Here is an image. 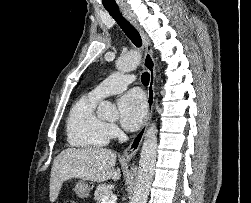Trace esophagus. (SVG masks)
<instances>
[{
  "instance_id": "esophagus-1",
  "label": "esophagus",
  "mask_w": 251,
  "mask_h": 203,
  "mask_svg": "<svg viewBox=\"0 0 251 203\" xmlns=\"http://www.w3.org/2000/svg\"><path fill=\"white\" fill-rule=\"evenodd\" d=\"M122 14L124 17L130 21V23L138 30L142 41L145 46V55H144V67L147 69V71L150 74V81L149 86L147 90V105H148V114L146 121L143 125V127L140 129V131L134 136L132 139L130 145L125 149V151L122 154V158L124 159H131L136 155L138 152L141 143L143 141L144 135L146 133L149 121L152 116V110L154 107V98H155V79H156V64L153 58V50L151 42L144 32V30L139 26L135 16L127 9H121Z\"/></svg>"
}]
</instances>
